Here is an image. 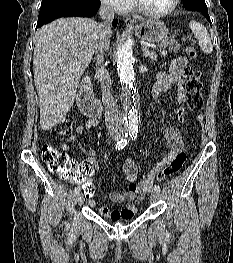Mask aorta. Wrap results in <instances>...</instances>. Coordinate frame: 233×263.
<instances>
[{
    "label": "aorta",
    "instance_id": "aorta-1",
    "mask_svg": "<svg viewBox=\"0 0 233 263\" xmlns=\"http://www.w3.org/2000/svg\"><path fill=\"white\" fill-rule=\"evenodd\" d=\"M117 67L120 82L125 92V120L128 130L138 131V110L136 109V92L134 91V58L130 43L123 44L117 53Z\"/></svg>",
    "mask_w": 233,
    "mask_h": 263
}]
</instances>
